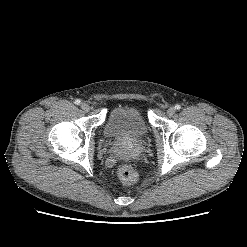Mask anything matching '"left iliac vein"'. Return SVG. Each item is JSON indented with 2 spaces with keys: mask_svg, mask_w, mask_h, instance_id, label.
<instances>
[{
  "mask_svg": "<svg viewBox=\"0 0 247 247\" xmlns=\"http://www.w3.org/2000/svg\"><path fill=\"white\" fill-rule=\"evenodd\" d=\"M176 112V109L174 107H170L168 110H167V114L169 116H173Z\"/></svg>",
  "mask_w": 247,
  "mask_h": 247,
  "instance_id": "left-iliac-vein-1",
  "label": "left iliac vein"
}]
</instances>
